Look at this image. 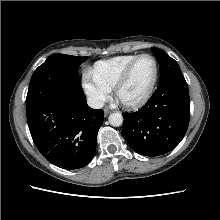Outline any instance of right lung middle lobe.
Instances as JSON below:
<instances>
[{
	"label": "right lung middle lobe",
	"mask_w": 220,
	"mask_h": 220,
	"mask_svg": "<svg viewBox=\"0 0 220 220\" xmlns=\"http://www.w3.org/2000/svg\"><path fill=\"white\" fill-rule=\"evenodd\" d=\"M87 57L54 54L32 75L26 105L43 99L75 98L83 94L78 68Z\"/></svg>",
	"instance_id": "obj_1"
}]
</instances>
